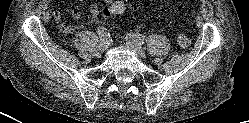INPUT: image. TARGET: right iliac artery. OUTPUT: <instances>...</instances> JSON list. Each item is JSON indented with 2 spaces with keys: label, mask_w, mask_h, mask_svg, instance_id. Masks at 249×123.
Wrapping results in <instances>:
<instances>
[{
  "label": "right iliac artery",
  "mask_w": 249,
  "mask_h": 123,
  "mask_svg": "<svg viewBox=\"0 0 249 123\" xmlns=\"http://www.w3.org/2000/svg\"><path fill=\"white\" fill-rule=\"evenodd\" d=\"M98 34L100 36L101 41L107 42V43L110 41V34L106 28L99 27Z\"/></svg>",
  "instance_id": "1"
}]
</instances>
